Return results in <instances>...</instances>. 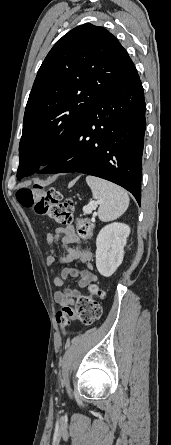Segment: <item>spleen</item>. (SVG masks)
I'll return each mask as SVG.
<instances>
[{
	"label": "spleen",
	"instance_id": "obj_1",
	"mask_svg": "<svg viewBox=\"0 0 171 445\" xmlns=\"http://www.w3.org/2000/svg\"><path fill=\"white\" fill-rule=\"evenodd\" d=\"M86 182L92 190L93 198L100 203L98 217L101 221L117 219L127 210L129 197L123 188L94 176H87Z\"/></svg>",
	"mask_w": 171,
	"mask_h": 445
}]
</instances>
